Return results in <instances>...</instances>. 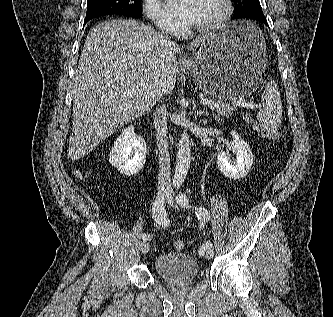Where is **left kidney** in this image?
<instances>
[{"mask_svg":"<svg viewBox=\"0 0 333 317\" xmlns=\"http://www.w3.org/2000/svg\"><path fill=\"white\" fill-rule=\"evenodd\" d=\"M233 141L231 142L232 152L236 159L231 160L227 152H219L217 155V165L219 170L230 179H241L247 175L253 164V153L250 146L238 133L231 132Z\"/></svg>","mask_w":333,"mask_h":317,"instance_id":"obj_1","label":"left kidney"}]
</instances>
